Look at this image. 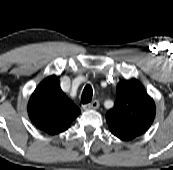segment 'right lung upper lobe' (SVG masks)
I'll use <instances>...</instances> for the list:
<instances>
[{
	"instance_id": "1",
	"label": "right lung upper lobe",
	"mask_w": 173,
	"mask_h": 170,
	"mask_svg": "<svg viewBox=\"0 0 173 170\" xmlns=\"http://www.w3.org/2000/svg\"><path fill=\"white\" fill-rule=\"evenodd\" d=\"M80 113V109L61 90L55 75L37 86L28 103V115L33 124L50 135L67 130Z\"/></svg>"
}]
</instances>
